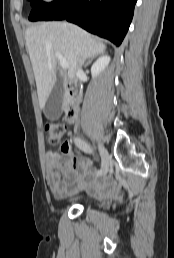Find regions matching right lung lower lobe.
Returning a JSON list of instances; mask_svg holds the SVG:
<instances>
[{
	"instance_id": "right-lung-lower-lobe-1",
	"label": "right lung lower lobe",
	"mask_w": 174,
	"mask_h": 258,
	"mask_svg": "<svg viewBox=\"0 0 174 258\" xmlns=\"http://www.w3.org/2000/svg\"><path fill=\"white\" fill-rule=\"evenodd\" d=\"M137 0H56L41 20L75 23L119 46L132 21Z\"/></svg>"
}]
</instances>
